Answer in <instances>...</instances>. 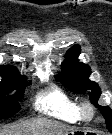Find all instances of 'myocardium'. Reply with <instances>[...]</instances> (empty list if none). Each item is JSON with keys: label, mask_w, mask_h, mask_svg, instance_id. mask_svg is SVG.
<instances>
[{"label": "myocardium", "mask_w": 112, "mask_h": 135, "mask_svg": "<svg viewBox=\"0 0 112 135\" xmlns=\"http://www.w3.org/2000/svg\"><path fill=\"white\" fill-rule=\"evenodd\" d=\"M79 115L82 121L90 122L96 116V108L90 101H82L79 104Z\"/></svg>", "instance_id": "obj_1"}]
</instances>
